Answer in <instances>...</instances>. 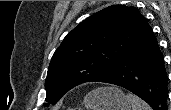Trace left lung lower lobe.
Masks as SVG:
<instances>
[{
	"mask_svg": "<svg viewBox=\"0 0 171 110\" xmlns=\"http://www.w3.org/2000/svg\"><path fill=\"white\" fill-rule=\"evenodd\" d=\"M167 80L163 55L150 27L118 64L95 82L121 86L142 98L154 110H168Z\"/></svg>",
	"mask_w": 171,
	"mask_h": 110,
	"instance_id": "0a47b994",
	"label": "left lung lower lobe"
}]
</instances>
